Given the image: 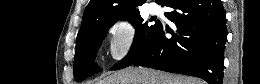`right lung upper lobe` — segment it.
Returning <instances> with one entry per match:
<instances>
[{"label":"right lung upper lobe","mask_w":260,"mask_h":84,"mask_svg":"<svg viewBox=\"0 0 260 84\" xmlns=\"http://www.w3.org/2000/svg\"><path fill=\"white\" fill-rule=\"evenodd\" d=\"M168 0H160L164 5ZM145 0H90L87 5L79 30L77 39L80 38L92 24L98 21L119 20L126 15L137 12V5H141Z\"/></svg>","instance_id":"obj_1"}]
</instances>
